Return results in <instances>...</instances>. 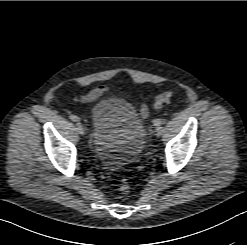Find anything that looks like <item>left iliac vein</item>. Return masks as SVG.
<instances>
[{
  "label": "left iliac vein",
  "mask_w": 247,
  "mask_h": 245,
  "mask_svg": "<svg viewBox=\"0 0 247 245\" xmlns=\"http://www.w3.org/2000/svg\"><path fill=\"white\" fill-rule=\"evenodd\" d=\"M155 130H156V134L158 135V136H160L161 135V133H162V126H156L155 127Z\"/></svg>",
  "instance_id": "1"
}]
</instances>
